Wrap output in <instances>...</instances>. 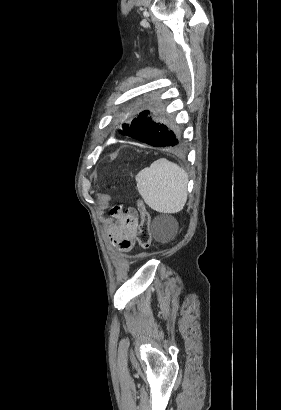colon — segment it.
Here are the masks:
<instances>
[{
  "mask_svg": "<svg viewBox=\"0 0 281 410\" xmlns=\"http://www.w3.org/2000/svg\"><path fill=\"white\" fill-rule=\"evenodd\" d=\"M138 211L140 214V225L137 235L139 246L146 250L151 246V231H150V215L142 201L138 202ZM112 214L115 216H123L124 211L122 206H116L112 209ZM128 216H132L129 214Z\"/></svg>",
  "mask_w": 281,
  "mask_h": 410,
  "instance_id": "5ec220e1",
  "label": "colon"
}]
</instances>
